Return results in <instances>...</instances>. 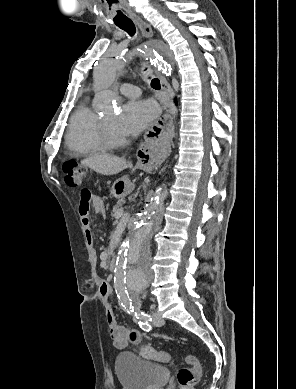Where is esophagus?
<instances>
[{
  "instance_id": "34e87169",
  "label": "esophagus",
  "mask_w": 296,
  "mask_h": 389,
  "mask_svg": "<svg viewBox=\"0 0 296 389\" xmlns=\"http://www.w3.org/2000/svg\"><path fill=\"white\" fill-rule=\"evenodd\" d=\"M135 22L144 37L151 38L153 36L152 28L147 22L140 18H137ZM155 73L160 80L162 91L167 95L170 100V107L173 109V90L161 72L156 69ZM172 132L173 115L170 112H161L158 118L154 120L153 126L147 128L146 139L138 149L136 168L156 169L158 163H162L164 157L168 155V144L173 140Z\"/></svg>"
}]
</instances>
